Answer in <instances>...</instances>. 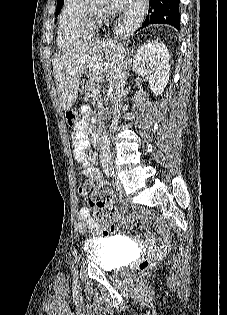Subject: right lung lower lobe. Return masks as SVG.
<instances>
[{
  "mask_svg": "<svg viewBox=\"0 0 227 315\" xmlns=\"http://www.w3.org/2000/svg\"><path fill=\"white\" fill-rule=\"evenodd\" d=\"M179 0H149V10L142 27L149 24L164 23L180 27Z\"/></svg>",
  "mask_w": 227,
  "mask_h": 315,
  "instance_id": "obj_1",
  "label": "right lung lower lobe"
}]
</instances>
